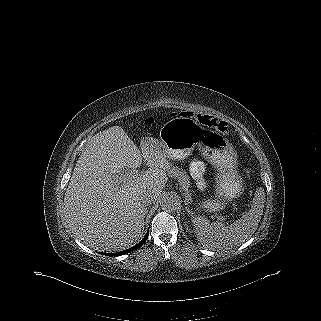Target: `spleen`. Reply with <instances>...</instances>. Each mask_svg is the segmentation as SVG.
I'll list each match as a JSON object with an SVG mask.
<instances>
[{
  "label": "spleen",
  "instance_id": "1",
  "mask_svg": "<svg viewBox=\"0 0 321 321\" xmlns=\"http://www.w3.org/2000/svg\"><path fill=\"white\" fill-rule=\"evenodd\" d=\"M264 190L260 188L253 200L251 209L229 226L220 222L209 223L206 218L192 220L199 241L212 250L231 249L241 244L256 231L263 215Z\"/></svg>",
  "mask_w": 321,
  "mask_h": 321
}]
</instances>
